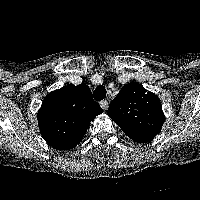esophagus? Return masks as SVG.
Returning <instances> with one entry per match:
<instances>
[{
    "mask_svg": "<svg viewBox=\"0 0 200 200\" xmlns=\"http://www.w3.org/2000/svg\"><path fill=\"white\" fill-rule=\"evenodd\" d=\"M100 104H101V106H102L104 109H106L107 106H108V101H107V100H101V101H100Z\"/></svg>",
    "mask_w": 200,
    "mask_h": 200,
    "instance_id": "1",
    "label": "esophagus"
}]
</instances>
